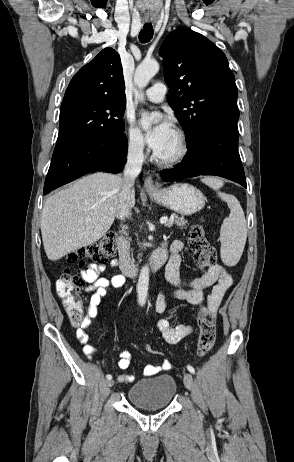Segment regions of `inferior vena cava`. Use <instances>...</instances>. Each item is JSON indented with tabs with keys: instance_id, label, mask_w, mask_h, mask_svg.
Returning <instances> with one entry per match:
<instances>
[{
	"instance_id": "inferior-vena-cava-1",
	"label": "inferior vena cava",
	"mask_w": 294,
	"mask_h": 462,
	"mask_svg": "<svg viewBox=\"0 0 294 462\" xmlns=\"http://www.w3.org/2000/svg\"><path fill=\"white\" fill-rule=\"evenodd\" d=\"M143 148L144 144L140 141L129 144L127 162L124 167V178L122 179V188L115 212V217L121 221H125V219L131 217L130 204L134 193L133 185L142 169L144 161Z\"/></svg>"
}]
</instances>
